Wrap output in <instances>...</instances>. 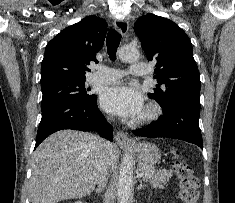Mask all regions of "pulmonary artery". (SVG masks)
<instances>
[{"instance_id": "pulmonary-artery-1", "label": "pulmonary artery", "mask_w": 235, "mask_h": 203, "mask_svg": "<svg viewBox=\"0 0 235 203\" xmlns=\"http://www.w3.org/2000/svg\"><path fill=\"white\" fill-rule=\"evenodd\" d=\"M148 72L147 65L144 63H133L128 71V73L135 76H143ZM125 74L124 71L110 68L106 66L96 67V71L93 72L89 78V84H108L114 83L121 79Z\"/></svg>"}]
</instances>
